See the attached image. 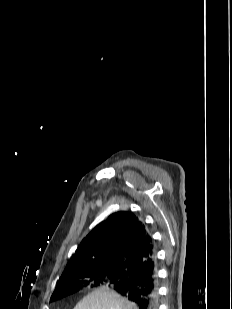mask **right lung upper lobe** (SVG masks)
I'll return each mask as SVG.
<instances>
[{"label":"right lung upper lobe","instance_id":"1","mask_svg":"<svg viewBox=\"0 0 232 309\" xmlns=\"http://www.w3.org/2000/svg\"><path fill=\"white\" fill-rule=\"evenodd\" d=\"M153 255L152 238L142 221L130 211H119L82 240L58 283L93 270L125 272Z\"/></svg>","mask_w":232,"mask_h":309}]
</instances>
